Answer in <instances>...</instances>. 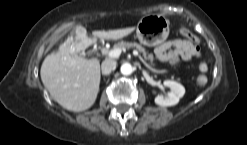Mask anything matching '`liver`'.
Listing matches in <instances>:
<instances>
[{
  "instance_id": "6515ba94",
  "label": "liver",
  "mask_w": 247,
  "mask_h": 145,
  "mask_svg": "<svg viewBox=\"0 0 247 145\" xmlns=\"http://www.w3.org/2000/svg\"><path fill=\"white\" fill-rule=\"evenodd\" d=\"M134 27L109 31H93L94 39L88 38L86 29L77 26L75 37H68L58 50L44 59L40 75L51 97L63 108L81 112L96 101L100 84V62L87 60L78 55L97 38L119 40L134 31Z\"/></svg>"
}]
</instances>
